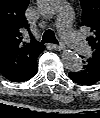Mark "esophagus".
<instances>
[{"label": "esophagus", "mask_w": 100, "mask_h": 118, "mask_svg": "<svg viewBox=\"0 0 100 118\" xmlns=\"http://www.w3.org/2000/svg\"><path fill=\"white\" fill-rule=\"evenodd\" d=\"M51 47L57 51L63 50L65 48L63 45H59V44H51Z\"/></svg>", "instance_id": "1"}]
</instances>
